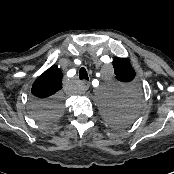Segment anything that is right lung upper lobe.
Wrapping results in <instances>:
<instances>
[{
	"label": "right lung upper lobe",
	"instance_id": "right-lung-upper-lobe-1",
	"mask_svg": "<svg viewBox=\"0 0 174 174\" xmlns=\"http://www.w3.org/2000/svg\"><path fill=\"white\" fill-rule=\"evenodd\" d=\"M62 72L53 65L34 82L31 92L36 99H48L60 95L62 89Z\"/></svg>",
	"mask_w": 174,
	"mask_h": 174
}]
</instances>
